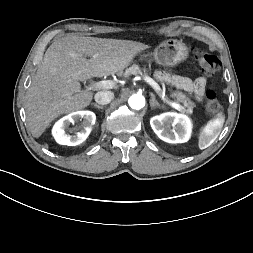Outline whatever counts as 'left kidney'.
I'll list each match as a JSON object with an SVG mask.
<instances>
[{
  "mask_svg": "<svg viewBox=\"0 0 253 253\" xmlns=\"http://www.w3.org/2000/svg\"><path fill=\"white\" fill-rule=\"evenodd\" d=\"M155 134L168 143L187 142L191 135L192 124L184 114L174 112L162 113L150 119Z\"/></svg>",
  "mask_w": 253,
  "mask_h": 253,
  "instance_id": "left-kidney-1",
  "label": "left kidney"
}]
</instances>
